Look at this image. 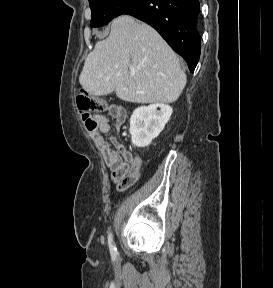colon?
<instances>
[{
	"label": "colon",
	"mask_w": 273,
	"mask_h": 288,
	"mask_svg": "<svg viewBox=\"0 0 273 288\" xmlns=\"http://www.w3.org/2000/svg\"><path fill=\"white\" fill-rule=\"evenodd\" d=\"M76 102L86 128L91 133H95L98 130L97 116L106 109L105 102L84 92L77 93Z\"/></svg>",
	"instance_id": "5ec220e1"
}]
</instances>
